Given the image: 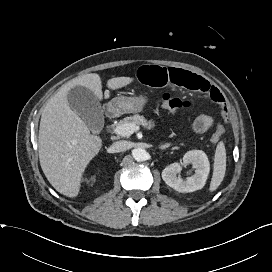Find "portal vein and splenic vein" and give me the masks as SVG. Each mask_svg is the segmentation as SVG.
<instances>
[{"instance_id": "1", "label": "portal vein and splenic vein", "mask_w": 272, "mask_h": 272, "mask_svg": "<svg viewBox=\"0 0 272 272\" xmlns=\"http://www.w3.org/2000/svg\"><path fill=\"white\" fill-rule=\"evenodd\" d=\"M139 129H140L139 126H136L131 123H127V124H122V125L116 126L114 129V133L125 137V136L132 135L134 132H137Z\"/></svg>"}]
</instances>
